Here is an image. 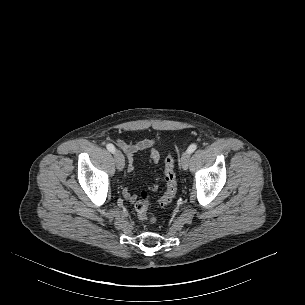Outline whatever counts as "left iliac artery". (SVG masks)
<instances>
[{
	"label": "left iliac artery",
	"instance_id": "44dca946",
	"mask_svg": "<svg viewBox=\"0 0 305 305\" xmlns=\"http://www.w3.org/2000/svg\"><path fill=\"white\" fill-rule=\"evenodd\" d=\"M196 148H197V145H196V144H191V145L188 147L187 151H188L189 153H192V152H194V151L196 150Z\"/></svg>",
	"mask_w": 305,
	"mask_h": 305
}]
</instances>
